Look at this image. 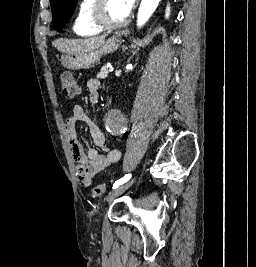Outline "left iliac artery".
Segmentation results:
<instances>
[{"label":"left iliac artery","instance_id":"obj_1","mask_svg":"<svg viewBox=\"0 0 256 267\" xmlns=\"http://www.w3.org/2000/svg\"><path fill=\"white\" fill-rule=\"evenodd\" d=\"M131 178V174H126L123 178L117 180L114 185H113V189H116L117 187H119L120 185L126 183L129 179Z\"/></svg>","mask_w":256,"mask_h":267}]
</instances>
